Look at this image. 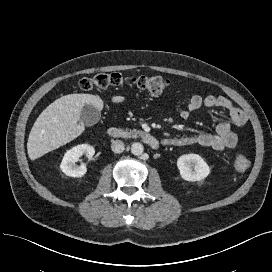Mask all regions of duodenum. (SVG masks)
<instances>
[{
    "instance_id": "obj_1",
    "label": "duodenum",
    "mask_w": 272,
    "mask_h": 272,
    "mask_svg": "<svg viewBox=\"0 0 272 272\" xmlns=\"http://www.w3.org/2000/svg\"><path fill=\"white\" fill-rule=\"evenodd\" d=\"M108 136L112 139H120L122 137V131L118 127H110L108 129ZM139 139L152 149L159 148V141L149 133H140Z\"/></svg>"
}]
</instances>
